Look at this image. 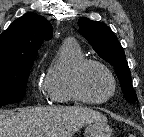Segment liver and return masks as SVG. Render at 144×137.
Segmentation results:
<instances>
[{"label": "liver", "instance_id": "1", "mask_svg": "<svg viewBox=\"0 0 144 137\" xmlns=\"http://www.w3.org/2000/svg\"><path fill=\"white\" fill-rule=\"evenodd\" d=\"M107 118L85 107H35L0 111V137H72L85 125Z\"/></svg>", "mask_w": 144, "mask_h": 137}]
</instances>
